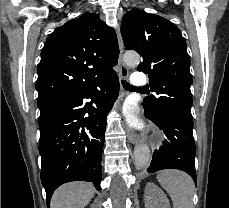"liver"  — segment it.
<instances>
[{"label":"liver","mask_w":229,"mask_h":208,"mask_svg":"<svg viewBox=\"0 0 229 208\" xmlns=\"http://www.w3.org/2000/svg\"><path fill=\"white\" fill-rule=\"evenodd\" d=\"M95 194L93 184L88 182H70L55 190L50 208H85Z\"/></svg>","instance_id":"1"}]
</instances>
